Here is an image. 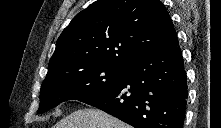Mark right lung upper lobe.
Instances as JSON below:
<instances>
[{
  "mask_svg": "<svg viewBox=\"0 0 221 128\" xmlns=\"http://www.w3.org/2000/svg\"><path fill=\"white\" fill-rule=\"evenodd\" d=\"M176 46L177 33L160 0H98L63 30L48 73L95 63L128 67L143 56Z\"/></svg>",
  "mask_w": 221,
  "mask_h": 128,
  "instance_id": "obj_1",
  "label": "right lung upper lobe"
}]
</instances>
